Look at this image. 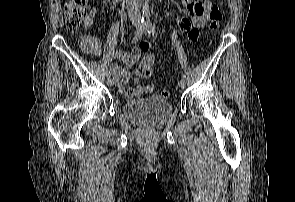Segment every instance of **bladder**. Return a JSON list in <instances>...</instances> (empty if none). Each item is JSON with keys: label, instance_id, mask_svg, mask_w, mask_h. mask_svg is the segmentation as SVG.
Listing matches in <instances>:
<instances>
[{"label": "bladder", "instance_id": "1", "mask_svg": "<svg viewBox=\"0 0 295 202\" xmlns=\"http://www.w3.org/2000/svg\"><path fill=\"white\" fill-rule=\"evenodd\" d=\"M121 113L131 122L159 126L166 123L173 115V107L163 97L150 95L126 101L121 106Z\"/></svg>", "mask_w": 295, "mask_h": 202}]
</instances>
